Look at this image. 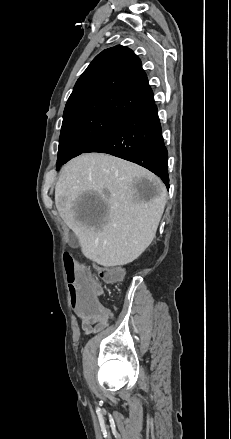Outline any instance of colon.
Returning a JSON list of instances; mask_svg holds the SVG:
<instances>
[{
  "label": "colon",
  "instance_id": "5ec220e1",
  "mask_svg": "<svg viewBox=\"0 0 231 439\" xmlns=\"http://www.w3.org/2000/svg\"><path fill=\"white\" fill-rule=\"evenodd\" d=\"M64 266L71 295L70 313H84L85 320H97L105 317V307L100 303L101 289L91 273L78 268L73 257L64 255ZM100 278L105 283H115L121 280L122 270L112 267H98Z\"/></svg>",
  "mask_w": 231,
  "mask_h": 439
}]
</instances>
